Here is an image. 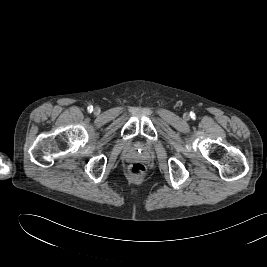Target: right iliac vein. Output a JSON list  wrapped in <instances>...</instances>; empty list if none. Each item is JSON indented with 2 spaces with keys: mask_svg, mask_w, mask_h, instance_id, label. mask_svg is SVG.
I'll return each instance as SVG.
<instances>
[{
  "mask_svg": "<svg viewBox=\"0 0 267 267\" xmlns=\"http://www.w3.org/2000/svg\"><path fill=\"white\" fill-rule=\"evenodd\" d=\"M99 111H100V108L99 107H95L94 108V113H99Z\"/></svg>",
  "mask_w": 267,
  "mask_h": 267,
  "instance_id": "63e3f726",
  "label": "right iliac vein"
}]
</instances>
